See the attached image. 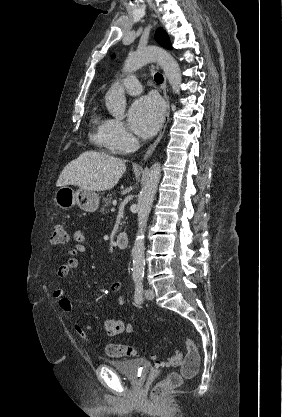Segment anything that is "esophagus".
<instances>
[{
    "instance_id": "esophagus-1",
    "label": "esophagus",
    "mask_w": 282,
    "mask_h": 417,
    "mask_svg": "<svg viewBox=\"0 0 282 417\" xmlns=\"http://www.w3.org/2000/svg\"><path fill=\"white\" fill-rule=\"evenodd\" d=\"M161 88L163 90V96L165 99V104H166V109H165V113H164V117H163V122L160 128V132L159 135L157 136L155 142L149 147V149L147 150L146 154L144 155L143 160H147V158H149L152 153L154 152L156 146L158 145V143L160 142L161 138L163 137V134L165 132L168 120H169V113H170V106H169V99L167 96V82H166V77L164 75L163 78V83L161 85Z\"/></svg>"
}]
</instances>
